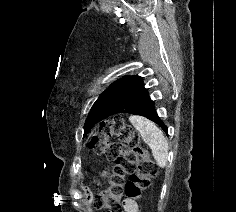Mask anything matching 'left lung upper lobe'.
I'll return each mask as SVG.
<instances>
[{"label": "left lung upper lobe", "mask_w": 236, "mask_h": 212, "mask_svg": "<svg viewBox=\"0 0 236 212\" xmlns=\"http://www.w3.org/2000/svg\"><path fill=\"white\" fill-rule=\"evenodd\" d=\"M130 76H125L112 83L96 100L92 106L84 125V136L99 121V117L114 97L120 92L124 83Z\"/></svg>", "instance_id": "obj_1"}]
</instances>
